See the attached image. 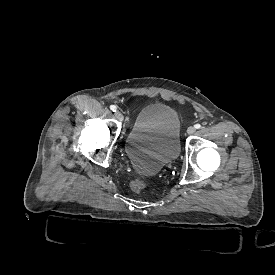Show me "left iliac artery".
I'll return each mask as SVG.
<instances>
[{"mask_svg": "<svg viewBox=\"0 0 275 275\" xmlns=\"http://www.w3.org/2000/svg\"><path fill=\"white\" fill-rule=\"evenodd\" d=\"M195 128H196V129H200V128H201V125H200V124H196V125H195Z\"/></svg>", "mask_w": 275, "mask_h": 275, "instance_id": "left-iliac-artery-1", "label": "left iliac artery"}]
</instances>
